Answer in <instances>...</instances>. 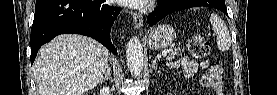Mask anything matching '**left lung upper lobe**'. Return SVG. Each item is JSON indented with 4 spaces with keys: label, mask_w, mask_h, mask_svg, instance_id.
Listing matches in <instances>:
<instances>
[{
    "label": "left lung upper lobe",
    "mask_w": 277,
    "mask_h": 95,
    "mask_svg": "<svg viewBox=\"0 0 277 95\" xmlns=\"http://www.w3.org/2000/svg\"><path fill=\"white\" fill-rule=\"evenodd\" d=\"M200 6L221 8L225 6L224 0H201Z\"/></svg>",
    "instance_id": "5c2ea615"
}]
</instances>
